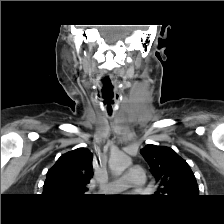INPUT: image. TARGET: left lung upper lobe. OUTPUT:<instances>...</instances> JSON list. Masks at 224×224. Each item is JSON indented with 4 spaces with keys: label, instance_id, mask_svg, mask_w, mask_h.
Instances as JSON below:
<instances>
[{
    "label": "left lung upper lobe",
    "instance_id": "5c2ea615",
    "mask_svg": "<svg viewBox=\"0 0 224 224\" xmlns=\"http://www.w3.org/2000/svg\"><path fill=\"white\" fill-rule=\"evenodd\" d=\"M140 153L150 165L159 185L156 195H168L170 198L199 195L196 178L190 166L173 149L148 144Z\"/></svg>",
    "mask_w": 224,
    "mask_h": 224
}]
</instances>
